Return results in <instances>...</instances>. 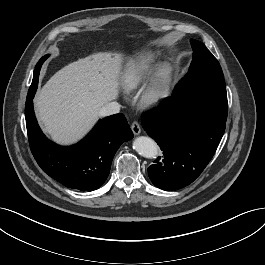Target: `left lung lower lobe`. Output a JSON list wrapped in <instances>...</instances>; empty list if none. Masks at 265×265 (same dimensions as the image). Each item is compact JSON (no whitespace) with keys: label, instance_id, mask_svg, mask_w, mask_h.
Listing matches in <instances>:
<instances>
[{"label":"left lung lower lobe","instance_id":"obj_1","mask_svg":"<svg viewBox=\"0 0 265 265\" xmlns=\"http://www.w3.org/2000/svg\"><path fill=\"white\" fill-rule=\"evenodd\" d=\"M226 119L199 103L174 94L142 118V126L163 150L148 175L160 189L173 191L192 183L212 159Z\"/></svg>","mask_w":265,"mask_h":265}]
</instances>
